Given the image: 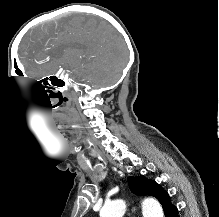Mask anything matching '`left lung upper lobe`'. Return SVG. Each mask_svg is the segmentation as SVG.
I'll use <instances>...</instances> for the list:
<instances>
[{
	"label": "left lung upper lobe",
	"mask_w": 219,
	"mask_h": 217,
	"mask_svg": "<svg viewBox=\"0 0 219 217\" xmlns=\"http://www.w3.org/2000/svg\"><path fill=\"white\" fill-rule=\"evenodd\" d=\"M128 183L131 191L136 195H150L159 200L163 210L171 205L169 194L155 181L145 179L143 176L129 177Z\"/></svg>",
	"instance_id": "1"
}]
</instances>
